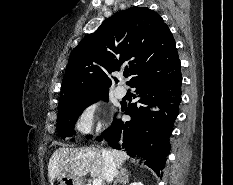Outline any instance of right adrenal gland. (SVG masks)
Wrapping results in <instances>:
<instances>
[{
	"instance_id": "right-adrenal-gland-1",
	"label": "right adrenal gland",
	"mask_w": 233,
	"mask_h": 185,
	"mask_svg": "<svg viewBox=\"0 0 233 185\" xmlns=\"http://www.w3.org/2000/svg\"><path fill=\"white\" fill-rule=\"evenodd\" d=\"M128 181V172L126 168H120V172L117 173L116 180L113 185H117L118 182L126 184Z\"/></svg>"
}]
</instances>
